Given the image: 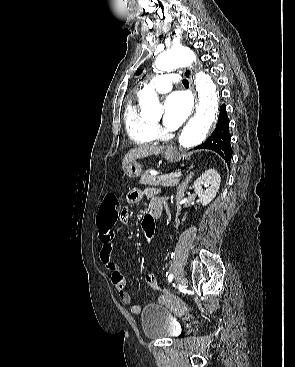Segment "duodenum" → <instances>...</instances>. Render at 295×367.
Returning a JSON list of instances; mask_svg holds the SVG:
<instances>
[{
	"label": "duodenum",
	"instance_id": "410a0bca",
	"mask_svg": "<svg viewBox=\"0 0 295 367\" xmlns=\"http://www.w3.org/2000/svg\"><path fill=\"white\" fill-rule=\"evenodd\" d=\"M163 205L161 200H153L151 201L149 207V216L153 219L159 218L162 214Z\"/></svg>",
	"mask_w": 295,
	"mask_h": 367
}]
</instances>
